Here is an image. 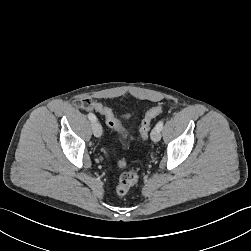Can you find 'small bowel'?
Here are the masks:
<instances>
[{"label":"small bowel","mask_w":251,"mask_h":251,"mask_svg":"<svg viewBox=\"0 0 251 251\" xmlns=\"http://www.w3.org/2000/svg\"><path fill=\"white\" fill-rule=\"evenodd\" d=\"M93 103L94 101L91 96H85L84 98H77L76 100H74L73 107L76 110H84L89 108Z\"/></svg>","instance_id":"small-bowel-1"}]
</instances>
